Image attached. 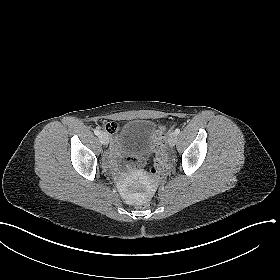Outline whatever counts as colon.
<instances>
[{"label":"colon","mask_w":280,"mask_h":280,"mask_svg":"<svg viewBox=\"0 0 280 280\" xmlns=\"http://www.w3.org/2000/svg\"><path fill=\"white\" fill-rule=\"evenodd\" d=\"M105 129L109 133L113 134L117 131V126L114 122H110L105 125ZM159 135H161V132H159ZM166 163H167V158L165 157V155L162 153L158 154V156L155 159L154 166L152 168V173L157 175L161 174L166 168L167 165ZM151 206H152L151 200H145L139 204V207L142 209H147L150 208Z\"/></svg>","instance_id":"1"}]
</instances>
